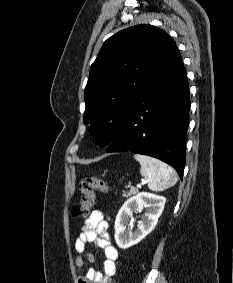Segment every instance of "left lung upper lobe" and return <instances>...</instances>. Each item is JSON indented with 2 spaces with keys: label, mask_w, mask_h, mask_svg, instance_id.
<instances>
[{
  "label": "left lung upper lobe",
  "mask_w": 233,
  "mask_h": 283,
  "mask_svg": "<svg viewBox=\"0 0 233 283\" xmlns=\"http://www.w3.org/2000/svg\"><path fill=\"white\" fill-rule=\"evenodd\" d=\"M175 45L152 25L127 28L104 42L90 68L84 112V123L101 146L119 135L147 80Z\"/></svg>",
  "instance_id": "5c2ea615"
}]
</instances>
